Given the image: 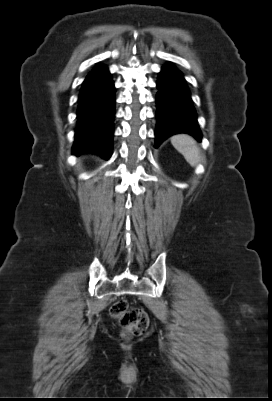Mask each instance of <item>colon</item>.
I'll use <instances>...</instances> for the list:
<instances>
[{
	"instance_id": "5ec220e1",
	"label": "colon",
	"mask_w": 272,
	"mask_h": 401,
	"mask_svg": "<svg viewBox=\"0 0 272 401\" xmlns=\"http://www.w3.org/2000/svg\"><path fill=\"white\" fill-rule=\"evenodd\" d=\"M109 313L112 318L119 321L123 330V337L126 339L139 336L148 328L147 313L141 308L130 307L124 299L114 302Z\"/></svg>"
}]
</instances>
